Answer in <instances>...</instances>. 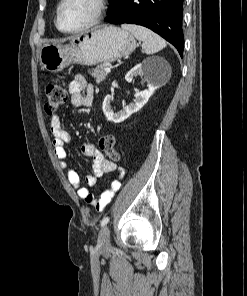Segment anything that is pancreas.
Wrapping results in <instances>:
<instances>
[{"instance_id": "cf45deb5", "label": "pancreas", "mask_w": 247, "mask_h": 296, "mask_svg": "<svg viewBox=\"0 0 247 296\" xmlns=\"http://www.w3.org/2000/svg\"><path fill=\"white\" fill-rule=\"evenodd\" d=\"M104 65H99L92 71H89V74L95 79L96 83H101L107 76V73L104 70Z\"/></svg>"}]
</instances>
